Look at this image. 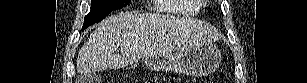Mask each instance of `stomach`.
Returning a JSON list of instances; mask_svg holds the SVG:
<instances>
[{
    "label": "stomach",
    "mask_w": 307,
    "mask_h": 83,
    "mask_svg": "<svg viewBox=\"0 0 307 83\" xmlns=\"http://www.w3.org/2000/svg\"><path fill=\"white\" fill-rule=\"evenodd\" d=\"M221 52L212 43H200L184 48L174 55H150L145 59L147 68L160 72H177L187 76H205L216 70Z\"/></svg>",
    "instance_id": "0dacf381"
}]
</instances>
